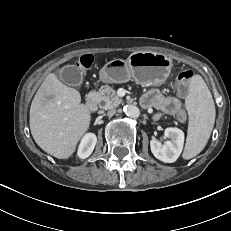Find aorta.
<instances>
[{
	"label": "aorta",
	"mask_w": 231,
	"mask_h": 231,
	"mask_svg": "<svg viewBox=\"0 0 231 231\" xmlns=\"http://www.w3.org/2000/svg\"><path fill=\"white\" fill-rule=\"evenodd\" d=\"M123 110L125 114L131 118H138L140 115L139 108L134 105H126Z\"/></svg>",
	"instance_id": "1"
}]
</instances>
